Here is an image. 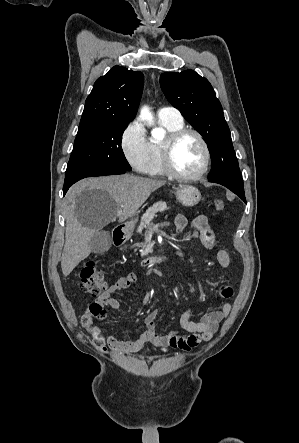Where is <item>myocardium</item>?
<instances>
[{"mask_svg":"<svg viewBox=\"0 0 299 443\" xmlns=\"http://www.w3.org/2000/svg\"><path fill=\"white\" fill-rule=\"evenodd\" d=\"M194 135L198 141L200 142L203 152H204V159L202 166L200 170L194 174L186 175L180 173L173 164V152L178 144V142L186 135ZM161 154H162V164L165 172L171 176L174 179L181 180V181H194L202 178L210 165L211 161V153L209 146L205 140V138L202 136V134L192 128H181L176 131L171 132L167 138L163 141L162 147H161Z\"/></svg>","mask_w":299,"mask_h":443,"instance_id":"f54148a6","label":"myocardium"}]
</instances>
